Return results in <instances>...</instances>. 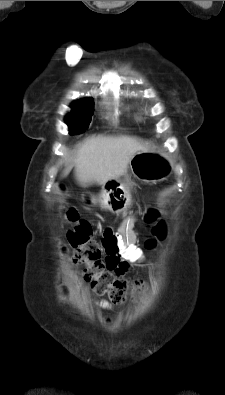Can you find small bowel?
Segmentation results:
<instances>
[{
	"mask_svg": "<svg viewBox=\"0 0 225 395\" xmlns=\"http://www.w3.org/2000/svg\"><path fill=\"white\" fill-rule=\"evenodd\" d=\"M60 245L61 247L58 248L59 260H68V248L64 247L63 242H60ZM102 246L107 256L113 260L110 270L117 275L124 274L129 263H141L144 260L142 251L135 246L133 237L127 228H122L120 235L106 230L103 233ZM100 305L106 309L111 307L107 301H101Z\"/></svg>",
	"mask_w": 225,
	"mask_h": 395,
	"instance_id": "small-bowel-1",
	"label": "small bowel"
}]
</instances>
